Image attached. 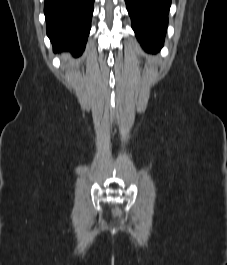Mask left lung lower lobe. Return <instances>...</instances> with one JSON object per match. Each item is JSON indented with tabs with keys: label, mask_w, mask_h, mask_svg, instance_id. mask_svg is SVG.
<instances>
[{
	"label": "left lung lower lobe",
	"mask_w": 227,
	"mask_h": 265,
	"mask_svg": "<svg viewBox=\"0 0 227 265\" xmlns=\"http://www.w3.org/2000/svg\"><path fill=\"white\" fill-rule=\"evenodd\" d=\"M132 28L142 47L155 53L164 44L171 0H125Z\"/></svg>",
	"instance_id": "obj_1"
}]
</instances>
